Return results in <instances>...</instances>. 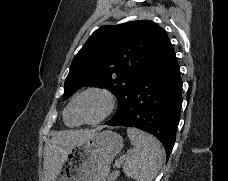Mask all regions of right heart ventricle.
<instances>
[{
	"instance_id": "obj_1",
	"label": "right heart ventricle",
	"mask_w": 228,
	"mask_h": 181,
	"mask_svg": "<svg viewBox=\"0 0 228 181\" xmlns=\"http://www.w3.org/2000/svg\"><path fill=\"white\" fill-rule=\"evenodd\" d=\"M65 118L69 125H76L79 123V118L75 114L73 103H71L67 108Z\"/></svg>"
}]
</instances>
